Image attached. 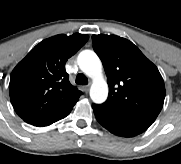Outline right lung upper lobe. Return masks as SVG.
<instances>
[{"mask_svg":"<svg viewBox=\"0 0 181 164\" xmlns=\"http://www.w3.org/2000/svg\"><path fill=\"white\" fill-rule=\"evenodd\" d=\"M88 39L79 33L50 37L17 64L9 93L14 110L25 122L47 126L71 112L83 93L69 82L65 63Z\"/></svg>","mask_w":181,"mask_h":164,"instance_id":"1","label":"right lung upper lobe"}]
</instances>
